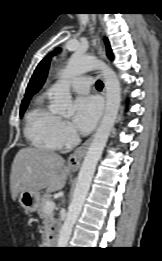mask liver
I'll use <instances>...</instances> for the list:
<instances>
[{
    "instance_id": "6515ba94",
    "label": "liver",
    "mask_w": 162,
    "mask_h": 261,
    "mask_svg": "<svg viewBox=\"0 0 162 261\" xmlns=\"http://www.w3.org/2000/svg\"><path fill=\"white\" fill-rule=\"evenodd\" d=\"M68 174L69 168L60 155L39 148H22L16 154L11 167L12 199L15 200L19 193L25 191H59L65 186Z\"/></svg>"
}]
</instances>
